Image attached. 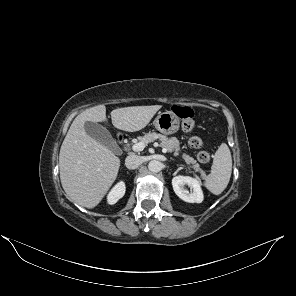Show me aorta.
Instances as JSON below:
<instances>
[{
  "label": "aorta",
  "mask_w": 296,
  "mask_h": 296,
  "mask_svg": "<svg viewBox=\"0 0 296 296\" xmlns=\"http://www.w3.org/2000/svg\"><path fill=\"white\" fill-rule=\"evenodd\" d=\"M148 169L151 172L157 173L162 169V163L158 160H152L148 164Z\"/></svg>",
  "instance_id": "aorta-1"
}]
</instances>
